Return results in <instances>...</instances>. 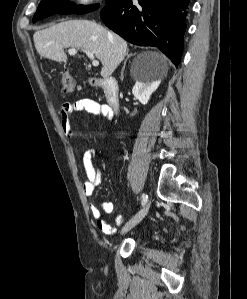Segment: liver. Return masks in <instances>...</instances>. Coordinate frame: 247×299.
<instances>
[{
    "label": "liver",
    "instance_id": "6515ba94",
    "mask_svg": "<svg viewBox=\"0 0 247 299\" xmlns=\"http://www.w3.org/2000/svg\"><path fill=\"white\" fill-rule=\"evenodd\" d=\"M35 48L41 57L66 62L64 48L85 49L101 61V76L108 78L127 54V42L109 32L99 23L90 20H69L36 31L33 35ZM159 69V77L168 72L167 59L158 52H147Z\"/></svg>",
    "mask_w": 247,
    "mask_h": 299
}]
</instances>
